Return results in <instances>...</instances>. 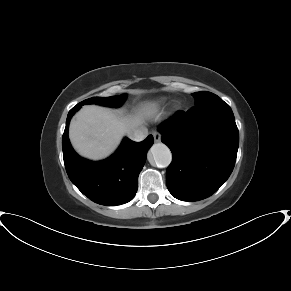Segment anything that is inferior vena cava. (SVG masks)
I'll return each mask as SVG.
<instances>
[{
    "instance_id": "1",
    "label": "inferior vena cava",
    "mask_w": 291,
    "mask_h": 291,
    "mask_svg": "<svg viewBox=\"0 0 291 291\" xmlns=\"http://www.w3.org/2000/svg\"><path fill=\"white\" fill-rule=\"evenodd\" d=\"M148 135V129L145 126H140L128 133V136L131 140L140 142L144 140Z\"/></svg>"
}]
</instances>
